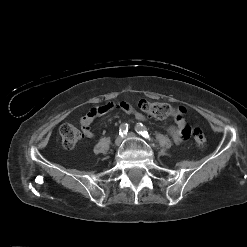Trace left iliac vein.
I'll return each instance as SVG.
<instances>
[{
	"mask_svg": "<svg viewBox=\"0 0 247 247\" xmlns=\"http://www.w3.org/2000/svg\"><path fill=\"white\" fill-rule=\"evenodd\" d=\"M126 137L135 138V137H137V135L134 132H129L126 134Z\"/></svg>",
	"mask_w": 247,
	"mask_h": 247,
	"instance_id": "obj_1",
	"label": "left iliac vein"
}]
</instances>
